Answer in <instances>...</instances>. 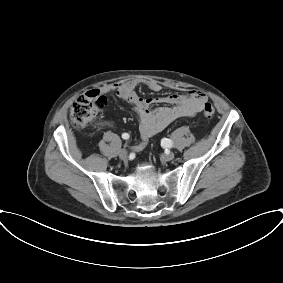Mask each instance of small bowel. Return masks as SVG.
Returning a JSON list of instances; mask_svg holds the SVG:
<instances>
[{
	"label": "small bowel",
	"instance_id": "1",
	"mask_svg": "<svg viewBox=\"0 0 283 283\" xmlns=\"http://www.w3.org/2000/svg\"><path fill=\"white\" fill-rule=\"evenodd\" d=\"M139 82L129 80L123 83H112L102 86L94 91L100 94L114 93L118 98L131 106L140 121L141 140L132 147L134 152L141 151L149 139L162 131L171 122L183 118L192 117L199 113L207 102V96L198 90H191L187 94H171L160 98H142L136 89ZM144 85L153 92H159L162 85L156 80H148ZM170 104L152 108L156 104ZM106 126L111 123L106 122Z\"/></svg>",
	"mask_w": 283,
	"mask_h": 283
}]
</instances>
